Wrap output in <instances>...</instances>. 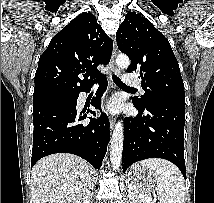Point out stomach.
Instances as JSON below:
<instances>
[{"instance_id":"1","label":"stomach","mask_w":214,"mask_h":203,"mask_svg":"<svg viewBox=\"0 0 214 203\" xmlns=\"http://www.w3.org/2000/svg\"><path fill=\"white\" fill-rule=\"evenodd\" d=\"M127 181L132 189L140 190L145 194L154 191L157 186L155 177L139 164H135L129 169Z\"/></svg>"}]
</instances>
